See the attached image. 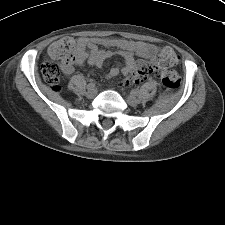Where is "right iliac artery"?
Instances as JSON below:
<instances>
[{
    "label": "right iliac artery",
    "mask_w": 225,
    "mask_h": 225,
    "mask_svg": "<svg viewBox=\"0 0 225 225\" xmlns=\"http://www.w3.org/2000/svg\"><path fill=\"white\" fill-rule=\"evenodd\" d=\"M95 86V83L93 80L90 81V83L87 85V88H91V87H94Z\"/></svg>",
    "instance_id": "right-iliac-artery-1"
}]
</instances>
